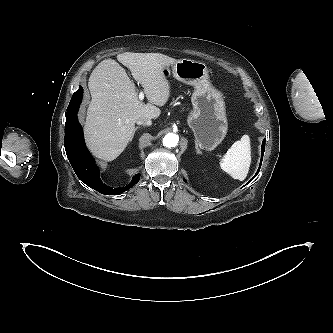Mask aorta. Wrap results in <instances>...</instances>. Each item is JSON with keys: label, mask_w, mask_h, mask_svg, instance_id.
<instances>
[{"label": "aorta", "mask_w": 333, "mask_h": 333, "mask_svg": "<svg viewBox=\"0 0 333 333\" xmlns=\"http://www.w3.org/2000/svg\"><path fill=\"white\" fill-rule=\"evenodd\" d=\"M178 142H179V137L175 133H168L163 138V145L168 148L175 147L178 144Z\"/></svg>", "instance_id": "762f6f07"}]
</instances>
